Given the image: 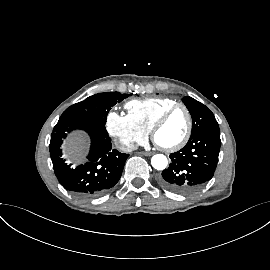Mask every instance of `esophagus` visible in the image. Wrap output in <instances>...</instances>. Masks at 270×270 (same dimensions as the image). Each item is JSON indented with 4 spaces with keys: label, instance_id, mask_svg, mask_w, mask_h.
Listing matches in <instances>:
<instances>
[{
    "label": "esophagus",
    "instance_id": "obj_1",
    "mask_svg": "<svg viewBox=\"0 0 270 270\" xmlns=\"http://www.w3.org/2000/svg\"><path fill=\"white\" fill-rule=\"evenodd\" d=\"M143 154H144L145 156H151V155H153L152 152H143Z\"/></svg>",
    "mask_w": 270,
    "mask_h": 270
}]
</instances>
